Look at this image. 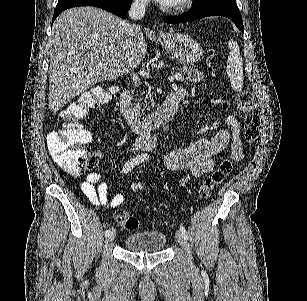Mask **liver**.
<instances>
[{"label":"liver","instance_id":"liver-1","mask_svg":"<svg viewBox=\"0 0 307 301\" xmlns=\"http://www.w3.org/2000/svg\"><path fill=\"white\" fill-rule=\"evenodd\" d=\"M125 24L96 6H74L57 16L50 36L51 112L97 82L128 74L140 64L147 52L141 26L137 36H129Z\"/></svg>","mask_w":307,"mask_h":301}]
</instances>
